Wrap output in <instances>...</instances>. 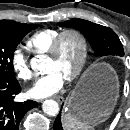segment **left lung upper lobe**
<instances>
[{
  "label": "left lung upper lobe",
  "mask_w": 130,
  "mask_h": 130,
  "mask_svg": "<svg viewBox=\"0 0 130 130\" xmlns=\"http://www.w3.org/2000/svg\"><path fill=\"white\" fill-rule=\"evenodd\" d=\"M61 26L81 31L88 39L96 56H123L122 43L116 33L99 24L83 19H72L59 23Z\"/></svg>",
  "instance_id": "left-lung-upper-lobe-1"
}]
</instances>
